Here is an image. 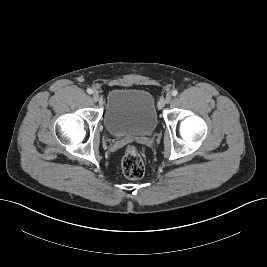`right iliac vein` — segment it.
Segmentation results:
<instances>
[{"label":"right iliac vein","mask_w":267,"mask_h":267,"mask_svg":"<svg viewBox=\"0 0 267 267\" xmlns=\"http://www.w3.org/2000/svg\"><path fill=\"white\" fill-rule=\"evenodd\" d=\"M93 99H94V101H98V99H99V94H98V92H93Z\"/></svg>","instance_id":"1"}]
</instances>
